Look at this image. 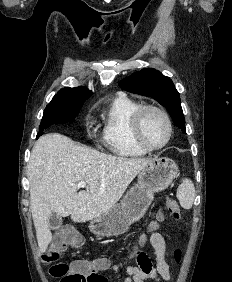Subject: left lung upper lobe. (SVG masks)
Masks as SVG:
<instances>
[{"instance_id":"obj_1","label":"left lung upper lobe","mask_w":232,"mask_h":282,"mask_svg":"<svg viewBox=\"0 0 232 282\" xmlns=\"http://www.w3.org/2000/svg\"><path fill=\"white\" fill-rule=\"evenodd\" d=\"M119 86L128 92L157 100L168 110L174 124L186 133L179 92L169 77L155 69L146 68L123 79Z\"/></svg>"}]
</instances>
